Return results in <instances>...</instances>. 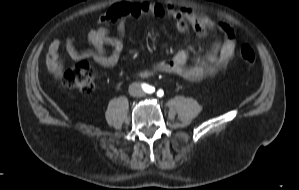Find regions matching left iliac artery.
Listing matches in <instances>:
<instances>
[{
	"instance_id": "obj_1",
	"label": "left iliac artery",
	"mask_w": 299,
	"mask_h": 190,
	"mask_svg": "<svg viewBox=\"0 0 299 190\" xmlns=\"http://www.w3.org/2000/svg\"><path fill=\"white\" fill-rule=\"evenodd\" d=\"M161 92H162V91H161V90H159V91H158V95H159Z\"/></svg>"
}]
</instances>
